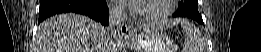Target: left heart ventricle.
I'll list each match as a JSON object with an SVG mask.
<instances>
[{"label":"left heart ventricle","mask_w":261,"mask_h":52,"mask_svg":"<svg viewBox=\"0 0 261 52\" xmlns=\"http://www.w3.org/2000/svg\"><path fill=\"white\" fill-rule=\"evenodd\" d=\"M167 4V0L138 1L137 8L143 14H156L162 11Z\"/></svg>","instance_id":"b2bd125f"}]
</instances>
